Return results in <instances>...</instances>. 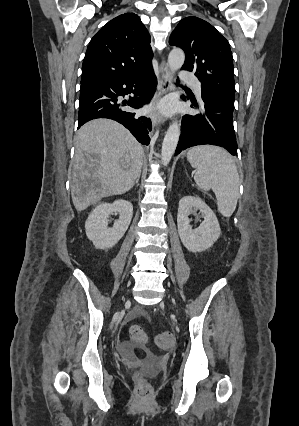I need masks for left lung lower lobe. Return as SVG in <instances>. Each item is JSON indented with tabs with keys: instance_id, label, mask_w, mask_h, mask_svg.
<instances>
[{
	"instance_id": "1",
	"label": "left lung lower lobe",
	"mask_w": 299,
	"mask_h": 426,
	"mask_svg": "<svg viewBox=\"0 0 299 426\" xmlns=\"http://www.w3.org/2000/svg\"><path fill=\"white\" fill-rule=\"evenodd\" d=\"M186 101V97L182 96ZM202 104L194 107L201 109L197 115H185L182 118L181 135L175 155L186 148L211 144L225 148L232 155H237V142L233 128L234 104L201 88Z\"/></svg>"
}]
</instances>
